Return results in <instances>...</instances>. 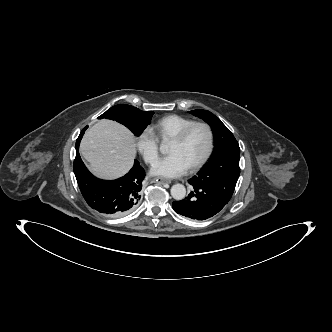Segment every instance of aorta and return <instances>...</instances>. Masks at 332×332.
<instances>
[{"mask_svg":"<svg viewBox=\"0 0 332 332\" xmlns=\"http://www.w3.org/2000/svg\"><path fill=\"white\" fill-rule=\"evenodd\" d=\"M171 195L172 197L177 200V201H180V200H183L186 196V188L184 185L182 184H174L172 187H171Z\"/></svg>","mask_w":332,"mask_h":332,"instance_id":"1","label":"aorta"}]
</instances>
